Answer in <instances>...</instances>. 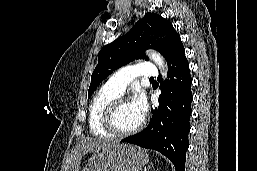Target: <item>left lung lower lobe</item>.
Masks as SVG:
<instances>
[{
  "mask_svg": "<svg viewBox=\"0 0 257 171\" xmlns=\"http://www.w3.org/2000/svg\"><path fill=\"white\" fill-rule=\"evenodd\" d=\"M167 63L169 79L165 81L159 109L152 110L147 128L122 141L159 151L172 161L176 171H185L192 79L184 47L171 56Z\"/></svg>",
  "mask_w": 257,
  "mask_h": 171,
  "instance_id": "obj_1",
  "label": "left lung lower lobe"
}]
</instances>
